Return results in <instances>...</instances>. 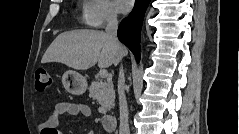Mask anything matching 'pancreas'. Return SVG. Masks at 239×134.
Here are the masks:
<instances>
[{"label":"pancreas","mask_w":239,"mask_h":134,"mask_svg":"<svg viewBox=\"0 0 239 134\" xmlns=\"http://www.w3.org/2000/svg\"><path fill=\"white\" fill-rule=\"evenodd\" d=\"M89 95L99 104V113L105 114L114 105L115 91L113 82L93 81L89 87Z\"/></svg>","instance_id":"1"}]
</instances>
